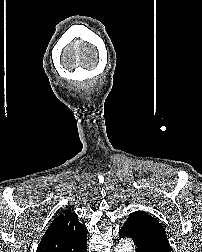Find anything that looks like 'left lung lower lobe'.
I'll return each instance as SVG.
<instances>
[{
  "label": "left lung lower lobe",
  "mask_w": 202,
  "mask_h": 252,
  "mask_svg": "<svg viewBox=\"0 0 202 252\" xmlns=\"http://www.w3.org/2000/svg\"><path fill=\"white\" fill-rule=\"evenodd\" d=\"M119 237L132 238L136 245V252H165L144 242L133 225L125 223L119 231Z\"/></svg>",
  "instance_id": "left-lung-lower-lobe-1"
}]
</instances>
